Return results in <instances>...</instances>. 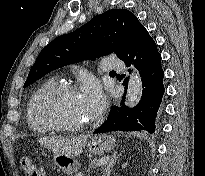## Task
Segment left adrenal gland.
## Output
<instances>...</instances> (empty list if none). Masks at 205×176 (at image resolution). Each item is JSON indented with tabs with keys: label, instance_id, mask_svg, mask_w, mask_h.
<instances>
[{
	"label": "left adrenal gland",
	"instance_id": "1",
	"mask_svg": "<svg viewBox=\"0 0 205 176\" xmlns=\"http://www.w3.org/2000/svg\"><path fill=\"white\" fill-rule=\"evenodd\" d=\"M121 153L118 155L117 151H115L113 153V155L111 156V158L109 159L106 167L104 168V171L102 173V176H110L111 173V169L113 168V166L115 165L116 161L119 159Z\"/></svg>",
	"mask_w": 205,
	"mask_h": 176
}]
</instances>
